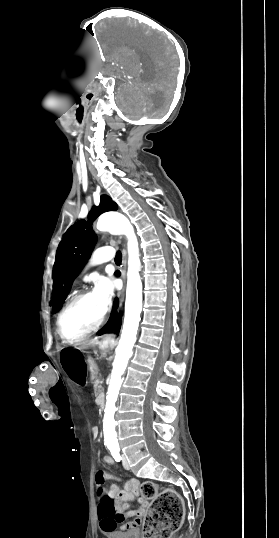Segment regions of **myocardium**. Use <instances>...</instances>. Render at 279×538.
Wrapping results in <instances>:
<instances>
[{
    "mask_svg": "<svg viewBox=\"0 0 279 538\" xmlns=\"http://www.w3.org/2000/svg\"><path fill=\"white\" fill-rule=\"evenodd\" d=\"M95 231L97 233H104L105 232V228L103 225L101 224H98L96 223V227H95ZM94 294V291L93 290H83L79 293H77L65 306L64 308L61 310V312L59 313L58 317H57V321H56V326H57V333L59 335V337L67 344H77V343H80L81 341L85 340L86 338L92 336L94 333H96L101 325L103 324L104 320H105V317H106V313L107 311L104 310L103 313L100 315L98 321L96 322V324L94 325L93 328H91L89 331H87L86 333L82 334L81 336L77 337L76 339H73V340H70V339H67L64 335H63V332H62V319L64 317V315L66 314V312L74 305L76 304L77 302H79L80 300L90 296Z\"/></svg>",
    "mask_w": 279,
    "mask_h": 538,
    "instance_id": "1",
    "label": "myocardium"
}]
</instances>
